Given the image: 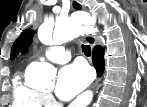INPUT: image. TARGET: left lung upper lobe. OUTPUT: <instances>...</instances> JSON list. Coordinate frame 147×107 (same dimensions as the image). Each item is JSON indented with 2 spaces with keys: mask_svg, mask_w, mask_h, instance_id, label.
Instances as JSON below:
<instances>
[{
  "mask_svg": "<svg viewBox=\"0 0 147 107\" xmlns=\"http://www.w3.org/2000/svg\"><path fill=\"white\" fill-rule=\"evenodd\" d=\"M73 6L76 9L81 8V5L76 2L73 3ZM33 35L34 31L31 29H27L17 38L12 46L11 59H14L18 55L19 51H26L27 47L32 42Z\"/></svg>",
  "mask_w": 147,
  "mask_h": 107,
  "instance_id": "left-lung-upper-lobe-1",
  "label": "left lung upper lobe"
}]
</instances>
